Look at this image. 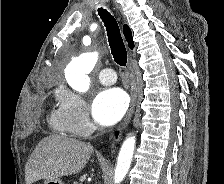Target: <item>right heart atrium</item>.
<instances>
[{
    "mask_svg": "<svg viewBox=\"0 0 224 184\" xmlns=\"http://www.w3.org/2000/svg\"><path fill=\"white\" fill-rule=\"evenodd\" d=\"M64 117L71 132L77 136L86 135L91 129L89 108L85 99L78 93L64 91L59 96Z\"/></svg>",
    "mask_w": 224,
    "mask_h": 184,
    "instance_id": "1",
    "label": "right heart atrium"
}]
</instances>
